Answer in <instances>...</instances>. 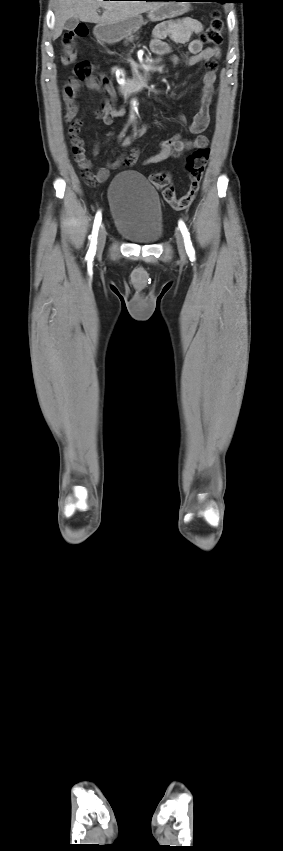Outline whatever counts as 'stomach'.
Instances as JSON below:
<instances>
[{"label": "stomach", "mask_w": 283, "mask_h": 851, "mask_svg": "<svg viewBox=\"0 0 283 851\" xmlns=\"http://www.w3.org/2000/svg\"><path fill=\"white\" fill-rule=\"evenodd\" d=\"M183 1L188 0L163 2L158 7L151 9L148 12V18L151 21H161L167 18L181 16L186 13L190 7L189 3ZM142 22V16L138 15L114 24H98L94 28V34L101 41L106 43H115L121 41L132 32L139 29Z\"/></svg>", "instance_id": "obj_1"}]
</instances>
